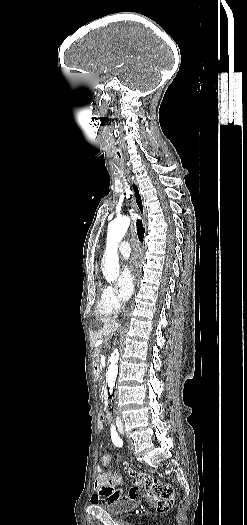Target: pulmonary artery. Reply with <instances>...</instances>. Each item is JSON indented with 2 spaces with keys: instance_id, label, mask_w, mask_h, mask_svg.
Instances as JSON below:
<instances>
[{
  "instance_id": "1",
  "label": "pulmonary artery",
  "mask_w": 247,
  "mask_h": 525,
  "mask_svg": "<svg viewBox=\"0 0 247 525\" xmlns=\"http://www.w3.org/2000/svg\"><path fill=\"white\" fill-rule=\"evenodd\" d=\"M129 247H130V244H129V242H127V241H123V242L119 245L120 255H121L122 257H124V260H127V258L130 257L131 254H132V251H131V249H130Z\"/></svg>"
}]
</instances>
